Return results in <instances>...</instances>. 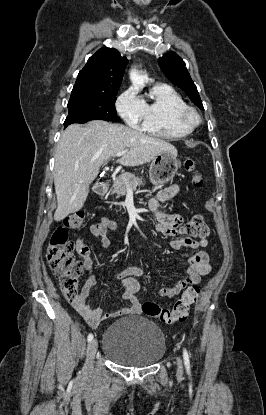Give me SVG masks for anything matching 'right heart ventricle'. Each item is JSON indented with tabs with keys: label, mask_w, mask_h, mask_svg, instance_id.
<instances>
[{
	"label": "right heart ventricle",
	"mask_w": 266,
	"mask_h": 415,
	"mask_svg": "<svg viewBox=\"0 0 266 415\" xmlns=\"http://www.w3.org/2000/svg\"><path fill=\"white\" fill-rule=\"evenodd\" d=\"M187 106L183 97L171 86L156 84L144 101L142 130L165 139H179L189 135L193 127L179 119Z\"/></svg>",
	"instance_id": "obj_1"
}]
</instances>
